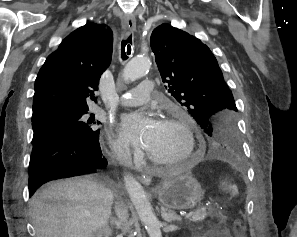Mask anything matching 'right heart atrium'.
I'll return each mask as SVG.
<instances>
[{
  "instance_id": "obj_1",
  "label": "right heart atrium",
  "mask_w": 297,
  "mask_h": 237,
  "mask_svg": "<svg viewBox=\"0 0 297 237\" xmlns=\"http://www.w3.org/2000/svg\"><path fill=\"white\" fill-rule=\"evenodd\" d=\"M110 147L114 157L122 162H127L137 155V151L122 137H113Z\"/></svg>"
}]
</instances>
